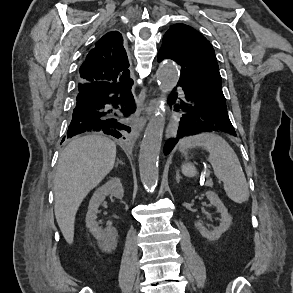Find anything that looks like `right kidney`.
Returning <instances> with one entry per match:
<instances>
[{
    "label": "right kidney",
    "mask_w": 293,
    "mask_h": 293,
    "mask_svg": "<svg viewBox=\"0 0 293 293\" xmlns=\"http://www.w3.org/2000/svg\"><path fill=\"white\" fill-rule=\"evenodd\" d=\"M109 194L117 199L123 198L124 191L119 178H112L94 192L88 206L86 226L97 240L101 241L106 246H114L117 237L116 229L109 227L103 230L98 226L96 221L98 208L104 201L105 197Z\"/></svg>",
    "instance_id": "right-kidney-1"
}]
</instances>
